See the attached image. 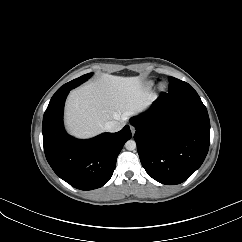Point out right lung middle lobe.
I'll return each mask as SVG.
<instances>
[{
  "instance_id": "1",
  "label": "right lung middle lobe",
  "mask_w": 242,
  "mask_h": 242,
  "mask_svg": "<svg viewBox=\"0 0 242 242\" xmlns=\"http://www.w3.org/2000/svg\"><path fill=\"white\" fill-rule=\"evenodd\" d=\"M93 73H88L86 75H83L77 79H74L66 84H64L62 87H60L55 94L62 92L63 90H65L68 87H72L75 88L77 86H79L80 84H82L83 82H85L87 79H89L92 76Z\"/></svg>"
}]
</instances>
